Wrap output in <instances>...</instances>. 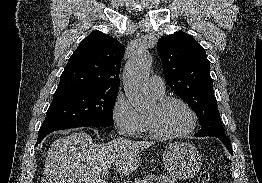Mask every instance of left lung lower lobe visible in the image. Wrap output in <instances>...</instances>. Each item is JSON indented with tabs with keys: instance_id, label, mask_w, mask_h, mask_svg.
Instances as JSON below:
<instances>
[{
	"instance_id": "left-lung-lower-lobe-1",
	"label": "left lung lower lobe",
	"mask_w": 262,
	"mask_h": 183,
	"mask_svg": "<svg viewBox=\"0 0 262 183\" xmlns=\"http://www.w3.org/2000/svg\"><path fill=\"white\" fill-rule=\"evenodd\" d=\"M217 138H219V139L224 143V145L226 146V148L228 149V151H229L231 154H233L232 147H231V145H230V142H229L228 138H227V137H217Z\"/></svg>"
}]
</instances>
